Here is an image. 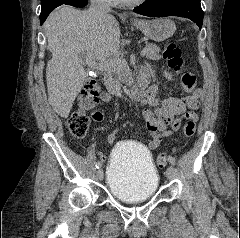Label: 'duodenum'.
<instances>
[{
    "label": "duodenum",
    "mask_w": 240,
    "mask_h": 238,
    "mask_svg": "<svg viewBox=\"0 0 240 238\" xmlns=\"http://www.w3.org/2000/svg\"><path fill=\"white\" fill-rule=\"evenodd\" d=\"M107 90L116 96H123L122 87L114 80L113 76L105 72L103 75ZM149 84V75L147 72H141L137 82L132 86L130 97L134 101H142L146 95L147 87Z\"/></svg>",
    "instance_id": "1"
}]
</instances>
